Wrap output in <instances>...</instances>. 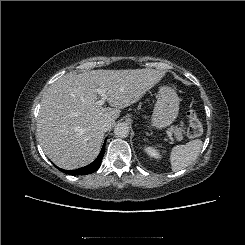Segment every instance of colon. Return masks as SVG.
<instances>
[{
	"label": "colon",
	"instance_id": "1",
	"mask_svg": "<svg viewBox=\"0 0 245 245\" xmlns=\"http://www.w3.org/2000/svg\"><path fill=\"white\" fill-rule=\"evenodd\" d=\"M187 118H188L187 136L190 139L197 138L202 133L201 121L199 120L197 113L192 109L187 112Z\"/></svg>",
	"mask_w": 245,
	"mask_h": 245
}]
</instances>
